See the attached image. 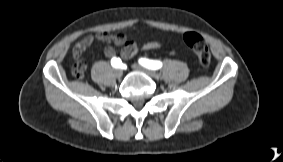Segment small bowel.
<instances>
[{
    "mask_svg": "<svg viewBox=\"0 0 283 162\" xmlns=\"http://www.w3.org/2000/svg\"><path fill=\"white\" fill-rule=\"evenodd\" d=\"M95 41H101L109 44V46H107L104 50V54L108 58L115 56V49L113 46L122 47L121 57L124 59L133 57L139 51L154 50L162 47V43L159 41L148 42L139 47L134 41L129 40L124 34H112L107 31H101L96 34H88L79 40L73 49L75 65H81L84 71L86 69V63L82 59V54Z\"/></svg>",
    "mask_w": 283,
    "mask_h": 162,
    "instance_id": "c3829d8e",
    "label": "small bowel"
}]
</instances>
